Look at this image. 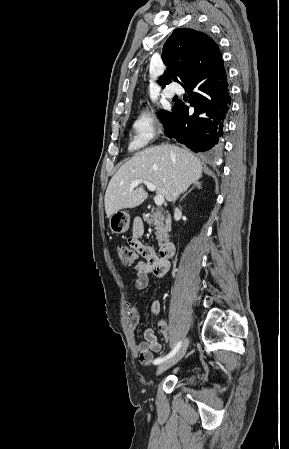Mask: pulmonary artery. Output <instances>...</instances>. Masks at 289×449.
Masks as SVG:
<instances>
[{
  "mask_svg": "<svg viewBox=\"0 0 289 449\" xmlns=\"http://www.w3.org/2000/svg\"><path fill=\"white\" fill-rule=\"evenodd\" d=\"M176 92L177 90L175 88H168L165 92V95L167 98H172Z\"/></svg>",
  "mask_w": 289,
  "mask_h": 449,
  "instance_id": "e3ab8cb5",
  "label": "pulmonary artery"
}]
</instances>
